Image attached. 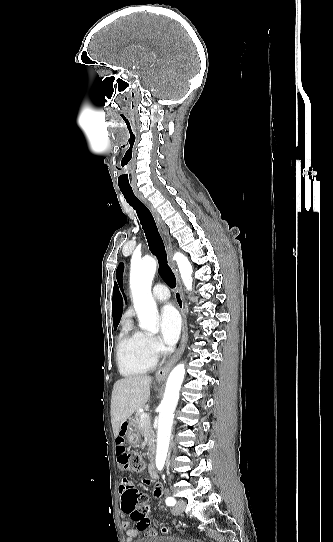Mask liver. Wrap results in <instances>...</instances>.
Masks as SVG:
<instances>
[{"label":"liver","mask_w":333,"mask_h":542,"mask_svg":"<svg viewBox=\"0 0 333 542\" xmlns=\"http://www.w3.org/2000/svg\"><path fill=\"white\" fill-rule=\"evenodd\" d=\"M151 376H124L115 382L111 398V424L118 438L121 424L143 408L150 398Z\"/></svg>","instance_id":"6515ba94"}]
</instances>
